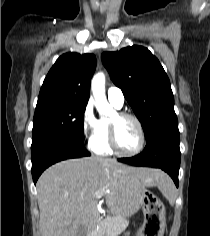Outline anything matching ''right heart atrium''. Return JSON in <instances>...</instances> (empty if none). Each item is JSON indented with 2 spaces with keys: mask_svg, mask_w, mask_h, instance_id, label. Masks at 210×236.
Returning <instances> with one entry per match:
<instances>
[{
  "mask_svg": "<svg viewBox=\"0 0 210 236\" xmlns=\"http://www.w3.org/2000/svg\"><path fill=\"white\" fill-rule=\"evenodd\" d=\"M83 135L91 141L99 129V119L96 117L92 101H88L81 116Z\"/></svg>",
  "mask_w": 210,
  "mask_h": 236,
  "instance_id": "1",
  "label": "right heart atrium"
}]
</instances>
